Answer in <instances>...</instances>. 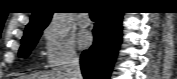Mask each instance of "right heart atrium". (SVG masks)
Instances as JSON below:
<instances>
[{
    "mask_svg": "<svg viewBox=\"0 0 177 79\" xmlns=\"http://www.w3.org/2000/svg\"><path fill=\"white\" fill-rule=\"evenodd\" d=\"M43 40L47 68L62 70L78 63L79 54L72 40L59 37L50 27L45 29Z\"/></svg>",
    "mask_w": 177,
    "mask_h": 79,
    "instance_id": "1",
    "label": "right heart atrium"
}]
</instances>
